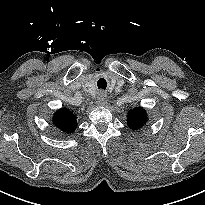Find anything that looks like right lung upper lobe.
I'll use <instances>...</instances> for the list:
<instances>
[{"label":"right lung upper lobe","instance_id":"obj_1","mask_svg":"<svg viewBox=\"0 0 205 205\" xmlns=\"http://www.w3.org/2000/svg\"><path fill=\"white\" fill-rule=\"evenodd\" d=\"M53 123L66 133H72L77 127L76 116L68 109L58 110L53 117Z\"/></svg>","mask_w":205,"mask_h":205}]
</instances>
